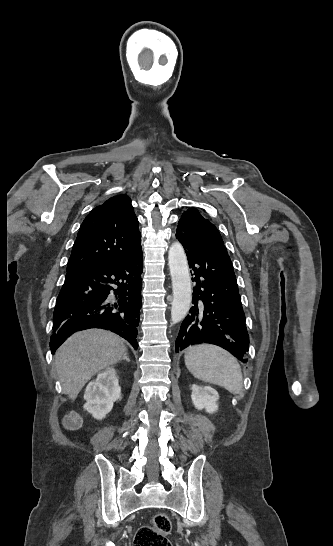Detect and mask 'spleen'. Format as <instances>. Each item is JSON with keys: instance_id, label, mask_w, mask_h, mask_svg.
<instances>
[{"instance_id": "obj_1", "label": "spleen", "mask_w": 333, "mask_h": 546, "mask_svg": "<svg viewBox=\"0 0 333 546\" xmlns=\"http://www.w3.org/2000/svg\"><path fill=\"white\" fill-rule=\"evenodd\" d=\"M184 359L189 372L195 378L223 386L233 394L242 390L241 367L224 349L213 345H196L185 351Z\"/></svg>"}]
</instances>
